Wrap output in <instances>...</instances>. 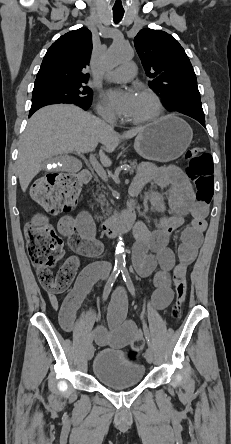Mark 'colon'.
Returning a JSON list of instances; mask_svg holds the SVG:
<instances>
[{
	"label": "colon",
	"mask_w": 231,
	"mask_h": 444,
	"mask_svg": "<svg viewBox=\"0 0 231 444\" xmlns=\"http://www.w3.org/2000/svg\"><path fill=\"white\" fill-rule=\"evenodd\" d=\"M186 173L196 186L197 200L208 204L213 195V162L211 155L200 147H192L185 154ZM82 182L74 174L52 173L37 180L31 188L32 199L49 214L71 210L77 200ZM25 237L30 259L42 287L51 294L65 291L72 283L78 268L75 257L69 258L56 275L52 267L63 255L62 240L47 223L43 214L36 215L26 226ZM176 299L171 318L178 319L187 291V280L180 276L175 282ZM143 342H133L127 355L135 358Z\"/></svg>",
	"instance_id": "1"
}]
</instances>
